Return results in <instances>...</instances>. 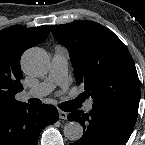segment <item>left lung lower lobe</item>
I'll list each match as a JSON object with an SVG mask.
<instances>
[{"instance_id":"0a47b994","label":"left lung lower lobe","mask_w":145,"mask_h":145,"mask_svg":"<svg viewBox=\"0 0 145 145\" xmlns=\"http://www.w3.org/2000/svg\"><path fill=\"white\" fill-rule=\"evenodd\" d=\"M138 104H93L89 113H70V121L79 122L83 136L70 145H126L137 120Z\"/></svg>"}]
</instances>
